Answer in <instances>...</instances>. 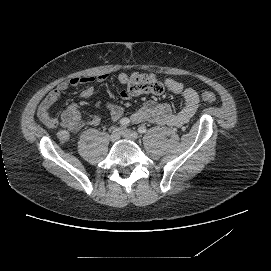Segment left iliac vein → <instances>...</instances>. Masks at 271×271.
Returning a JSON list of instances; mask_svg holds the SVG:
<instances>
[{
  "instance_id": "1",
  "label": "left iliac vein",
  "mask_w": 271,
  "mask_h": 271,
  "mask_svg": "<svg viewBox=\"0 0 271 271\" xmlns=\"http://www.w3.org/2000/svg\"><path fill=\"white\" fill-rule=\"evenodd\" d=\"M121 134L123 137H125L129 140H133V141L137 140L139 137L137 132L130 130V129H125V128L121 129Z\"/></svg>"
}]
</instances>
